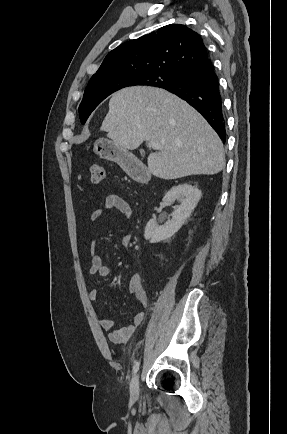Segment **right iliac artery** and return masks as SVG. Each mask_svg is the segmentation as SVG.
<instances>
[{
    "instance_id": "right-iliac-artery-1",
    "label": "right iliac artery",
    "mask_w": 287,
    "mask_h": 434,
    "mask_svg": "<svg viewBox=\"0 0 287 434\" xmlns=\"http://www.w3.org/2000/svg\"><path fill=\"white\" fill-rule=\"evenodd\" d=\"M139 366H140V362L135 361L134 366H133V374L137 373V371L139 370Z\"/></svg>"
}]
</instances>
